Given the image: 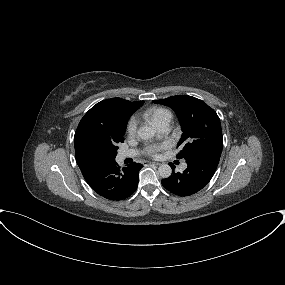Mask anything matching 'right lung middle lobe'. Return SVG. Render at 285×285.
Returning a JSON list of instances; mask_svg holds the SVG:
<instances>
[{
    "label": "right lung middle lobe",
    "instance_id": "right-lung-middle-lobe-1",
    "mask_svg": "<svg viewBox=\"0 0 285 285\" xmlns=\"http://www.w3.org/2000/svg\"><path fill=\"white\" fill-rule=\"evenodd\" d=\"M124 132L114 139H98L89 143L90 155L100 161L113 162L117 154V144L124 141Z\"/></svg>",
    "mask_w": 285,
    "mask_h": 285
}]
</instances>
